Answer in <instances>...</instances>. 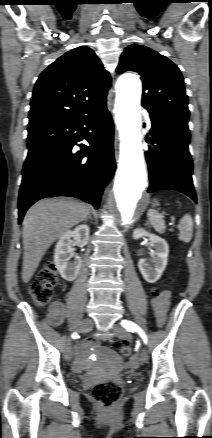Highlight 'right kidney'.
<instances>
[{
	"label": "right kidney",
	"mask_w": 212,
	"mask_h": 438,
	"mask_svg": "<svg viewBox=\"0 0 212 438\" xmlns=\"http://www.w3.org/2000/svg\"><path fill=\"white\" fill-rule=\"evenodd\" d=\"M90 229L87 225H79L74 230H68L63 233L55 247L54 262L62 278L67 281H73L79 274L82 260L79 256L71 251L73 237L81 245H87L89 241ZM74 257L75 261L69 260Z\"/></svg>",
	"instance_id": "ca27d5eb"
}]
</instances>
